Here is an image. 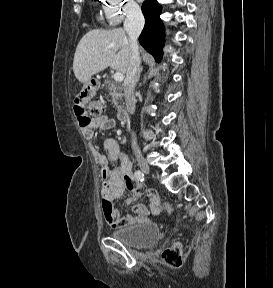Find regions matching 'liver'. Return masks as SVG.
<instances>
[{"instance_id":"1","label":"liver","mask_w":273,"mask_h":288,"mask_svg":"<svg viewBox=\"0 0 273 288\" xmlns=\"http://www.w3.org/2000/svg\"><path fill=\"white\" fill-rule=\"evenodd\" d=\"M129 58L130 43L125 30L94 29L87 32L78 43L73 71L79 82L87 84L92 75L107 67L126 74Z\"/></svg>"}]
</instances>
